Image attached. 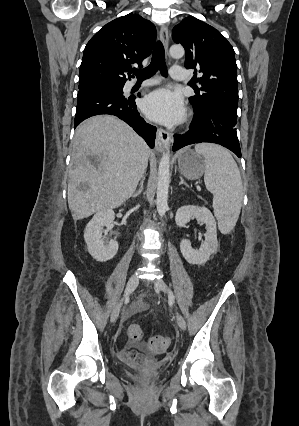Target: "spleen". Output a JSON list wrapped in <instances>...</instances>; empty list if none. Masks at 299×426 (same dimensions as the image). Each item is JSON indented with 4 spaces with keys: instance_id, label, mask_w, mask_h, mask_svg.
I'll return each instance as SVG.
<instances>
[{
    "instance_id": "1",
    "label": "spleen",
    "mask_w": 299,
    "mask_h": 426,
    "mask_svg": "<svg viewBox=\"0 0 299 426\" xmlns=\"http://www.w3.org/2000/svg\"><path fill=\"white\" fill-rule=\"evenodd\" d=\"M206 162L204 181L213 193L214 215L219 229L230 232L236 225L243 200V185L239 168L232 155L223 147L210 143L195 146Z\"/></svg>"
}]
</instances>
